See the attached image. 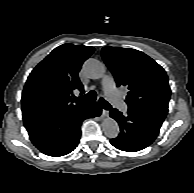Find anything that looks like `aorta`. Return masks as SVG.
I'll return each instance as SVG.
<instances>
[{
    "label": "aorta",
    "instance_id": "1",
    "mask_svg": "<svg viewBox=\"0 0 194 193\" xmlns=\"http://www.w3.org/2000/svg\"><path fill=\"white\" fill-rule=\"evenodd\" d=\"M83 69L86 76L91 79H100L106 72L105 65L93 58L86 60ZM102 130L108 138H116L119 134V125L113 118L107 117L102 122Z\"/></svg>",
    "mask_w": 194,
    "mask_h": 193
}]
</instances>
